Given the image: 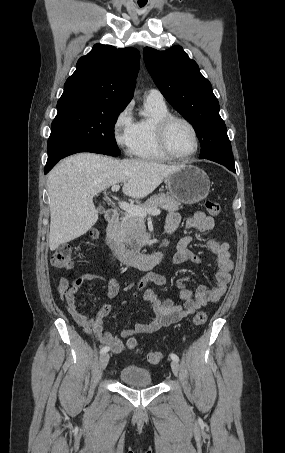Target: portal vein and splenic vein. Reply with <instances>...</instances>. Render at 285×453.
Returning a JSON list of instances; mask_svg holds the SVG:
<instances>
[{"label": "portal vein and splenic vein", "instance_id": "portal-vein-and-splenic-vein-1", "mask_svg": "<svg viewBox=\"0 0 285 453\" xmlns=\"http://www.w3.org/2000/svg\"><path fill=\"white\" fill-rule=\"evenodd\" d=\"M119 189H120V186L117 184L113 185L111 188L112 191H118ZM119 207L128 213L138 215L143 218L146 217L148 214L157 216L161 213V211L159 209H144L143 207L129 204L127 202H119Z\"/></svg>", "mask_w": 285, "mask_h": 453}]
</instances>
